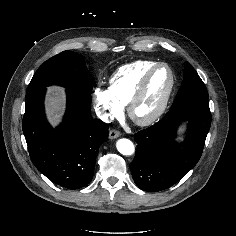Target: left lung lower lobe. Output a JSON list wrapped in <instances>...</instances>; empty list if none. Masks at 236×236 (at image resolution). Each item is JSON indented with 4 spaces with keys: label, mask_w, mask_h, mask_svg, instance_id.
<instances>
[{
    "label": "left lung lower lobe",
    "mask_w": 236,
    "mask_h": 236,
    "mask_svg": "<svg viewBox=\"0 0 236 236\" xmlns=\"http://www.w3.org/2000/svg\"><path fill=\"white\" fill-rule=\"evenodd\" d=\"M184 119L189 121V129L181 150L173 139ZM210 125V109L184 106L170 109L155 125L136 133L137 150L130 163L136 185L158 192L182 179L199 161Z\"/></svg>",
    "instance_id": "left-lung-lower-lobe-1"
}]
</instances>
